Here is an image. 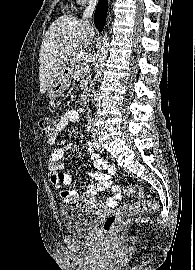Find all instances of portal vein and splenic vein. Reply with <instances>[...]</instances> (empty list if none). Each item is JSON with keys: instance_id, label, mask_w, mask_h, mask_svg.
I'll use <instances>...</instances> for the list:
<instances>
[{"instance_id": "portal-vein-and-splenic-vein-1", "label": "portal vein and splenic vein", "mask_w": 195, "mask_h": 270, "mask_svg": "<svg viewBox=\"0 0 195 270\" xmlns=\"http://www.w3.org/2000/svg\"><path fill=\"white\" fill-rule=\"evenodd\" d=\"M73 55L78 61L87 59L86 52L84 50L77 51Z\"/></svg>"}]
</instances>
